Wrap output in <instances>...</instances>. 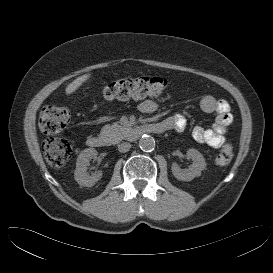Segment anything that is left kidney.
Here are the masks:
<instances>
[{
	"label": "left kidney",
	"mask_w": 273,
	"mask_h": 273,
	"mask_svg": "<svg viewBox=\"0 0 273 273\" xmlns=\"http://www.w3.org/2000/svg\"><path fill=\"white\" fill-rule=\"evenodd\" d=\"M187 156L193 161L188 169H181L176 163L172 164V173L178 180L191 181L195 177L200 176L202 170L206 167L205 159L198 150L194 148L189 149Z\"/></svg>",
	"instance_id": "1"
}]
</instances>
